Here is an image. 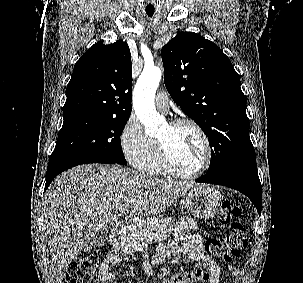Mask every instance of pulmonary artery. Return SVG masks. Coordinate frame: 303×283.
Returning <instances> with one entry per match:
<instances>
[{
	"label": "pulmonary artery",
	"instance_id": "1",
	"mask_svg": "<svg viewBox=\"0 0 303 283\" xmlns=\"http://www.w3.org/2000/svg\"><path fill=\"white\" fill-rule=\"evenodd\" d=\"M155 105L157 109L163 113L169 111V97L166 92H159L155 97Z\"/></svg>",
	"mask_w": 303,
	"mask_h": 283
}]
</instances>
